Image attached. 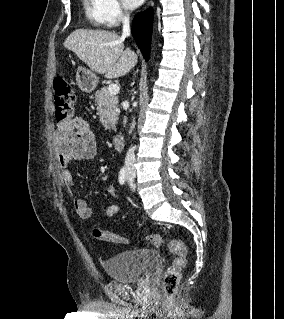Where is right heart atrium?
Wrapping results in <instances>:
<instances>
[{
	"mask_svg": "<svg viewBox=\"0 0 284 319\" xmlns=\"http://www.w3.org/2000/svg\"><path fill=\"white\" fill-rule=\"evenodd\" d=\"M106 25L116 26L127 17V12L119 0H101Z\"/></svg>",
	"mask_w": 284,
	"mask_h": 319,
	"instance_id": "1",
	"label": "right heart atrium"
}]
</instances>
